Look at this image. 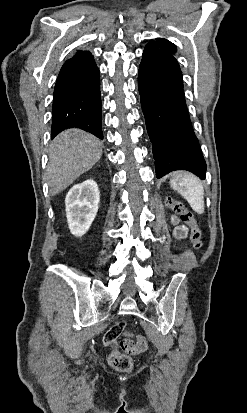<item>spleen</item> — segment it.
Returning a JSON list of instances; mask_svg holds the SVG:
<instances>
[{
  "instance_id": "1",
  "label": "spleen",
  "mask_w": 247,
  "mask_h": 413,
  "mask_svg": "<svg viewBox=\"0 0 247 413\" xmlns=\"http://www.w3.org/2000/svg\"><path fill=\"white\" fill-rule=\"evenodd\" d=\"M171 186L188 200L193 211L204 213V186L198 176L191 172H178L171 180Z\"/></svg>"
}]
</instances>
